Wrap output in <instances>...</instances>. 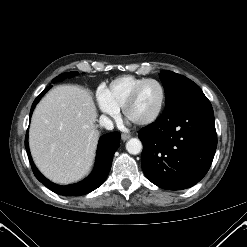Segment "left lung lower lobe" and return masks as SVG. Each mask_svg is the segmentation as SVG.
Returning <instances> with one entry per match:
<instances>
[{
	"mask_svg": "<svg viewBox=\"0 0 247 247\" xmlns=\"http://www.w3.org/2000/svg\"><path fill=\"white\" fill-rule=\"evenodd\" d=\"M141 166L155 185L182 190L208 172L217 147L212 105L203 92L181 97L139 133Z\"/></svg>",
	"mask_w": 247,
	"mask_h": 247,
	"instance_id": "1",
	"label": "left lung lower lobe"
}]
</instances>
